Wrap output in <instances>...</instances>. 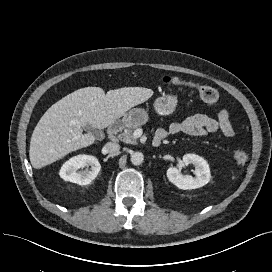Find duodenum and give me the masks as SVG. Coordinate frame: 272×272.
<instances>
[{
	"mask_svg": "<svg viewBox=\"0 0 272 272\" xmlns=\"http://www.w3.org/2000/svg\"><path fill=\"white\" fill-rule=\"evenodd\" d=\"M121 127V122L120 121H114L112 122L108 129H107V135L108 137L112 138L115 136V134L118 132V130ZM162 144V139H160L159 137H155L153 140V147L155 148H159Z\"/></svg>",
	"mask_w": 272,
	"mask_h": 272,
	"instance_id": "1",
	"label": "duodenum"
}]
</instances>
